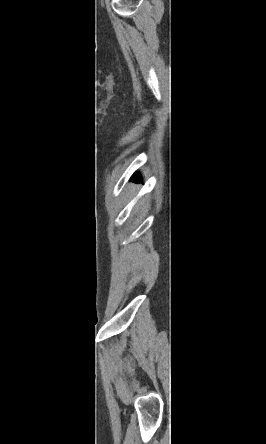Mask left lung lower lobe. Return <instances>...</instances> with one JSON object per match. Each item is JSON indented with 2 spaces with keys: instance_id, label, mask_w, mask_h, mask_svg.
Returning a JSON list of instances; mask_svg holds the SVG:
<instances>
[{
  "instance_id": "left-lung-lower-lobe-1",
  "label": "left lung lower lobe",
  "mask_w": 266,
  "mask_h": 444,
  "mask_svg": "<svg viewBox=\"0 0 266 444\" xmlns=\"http://www.w3.org/2000/svg\"><path fill=\"white\" fill-rule=\"evenodd\" d=\"M139 176L136 174L134 177H133V181H135V182H139Z\"/></svg>"
}]
</instances>
